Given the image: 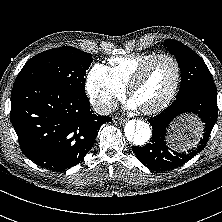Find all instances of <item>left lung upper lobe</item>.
I'll list each match as a JSON object with an SVG mask.
<instances>
[{"instance_id":"1","label":"left lung upper lobe","mask_w":222,"mask_h":222,"mask_svg":"<svg viewBox=\"0 0 222 222\" xmlns=\"http://www.w3.org/2000/svg\"><path fill=\"white\" fill-rule=\"evenodd\" d=\"M180 67L181 84L178 95L191 91H205L217 94L212 75L202 58L183 43L167 39L164 42Z\"/></svg>"}]
</instances>
